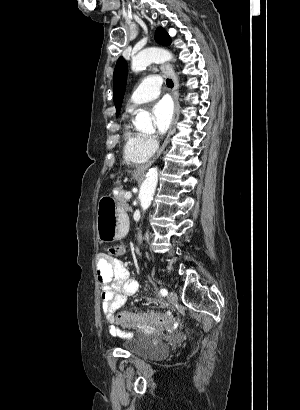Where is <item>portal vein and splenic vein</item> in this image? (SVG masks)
Instances as JSON below:
<instances>
[{"label":"portal vein and splenic vein","mask_w":300,"mask_h":410,"mask_svg":"<svg viewBox=\"0 0 300 410\" xmlns=\"http://www.w3.org/2000/svg\"><path fill=\"white\" fill-rule=\"evenodd\" d=\"M131 197H132L131 192H126V193H125V198H126V199H130Z\"/></svg>","instance_id":"18ae733b"}]
</instances>
